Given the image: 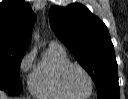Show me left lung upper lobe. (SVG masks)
Instances as JSON below:
<instances>
[{"instance_id":"obj_1","label":"left lung upper lobe","mask_w":128,"mask_h":99,"mask_svg":"<svg viewBox=\"0 0 128 99\" xmlns=\"http://www.w3.org/2000/svg\"><path fill=\"white\" fill-rule=\"evenodd\" d=\"M49 20L56 36L93 79L98 97L119 88L118 66L106 25L85 6H52Z\"/></svg>"}]
</instances>
